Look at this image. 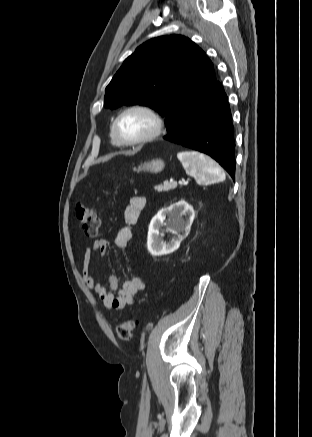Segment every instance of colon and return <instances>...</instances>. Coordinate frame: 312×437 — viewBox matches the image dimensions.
I'll return each mask as SVG.
<instances>
[{
	"instance_id": "5ec220e1",
	"label": "colon",
	"mask_w": 312,
	"mask_h": 437,
	"mask_svg": "<svg viewBox=\"0 0 312 437\" xmlns=\"http://www.w3.org/2000/svg\"><path fill=\"white\" fill-rule=\"evenodd\" d=\"M76 216L84 233L89 237H94L98 233L99 220L93 208L78 204L76 206ZM135 322L126 320L118 324L116 328L117 336L120 340L128 342L133 339Z\"/></svg>"
}]
</instances>
